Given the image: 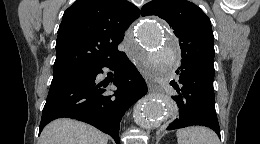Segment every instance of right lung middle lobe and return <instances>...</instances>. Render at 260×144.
Masks as SVG:
<instances>
[{"label": "right lung middle lobe", "mask_w": 260, "mask_h": 144, "mask_svg": "<svg viewBox=\"0 0 260 144\" xmlns=\"http://www.w3.org/2000/svg\"><path fill=\"white\" fill-rule=\"evenodd\" d=\"M76 69H78V68L69 69V70H62V71H54V72H53V79H54V78H57V77H60V76H62V75H65V74H67V73H69V72H71V71H74V70H76Z\"/></svg>", "instance_id": "obj_1"}]
</instances>
